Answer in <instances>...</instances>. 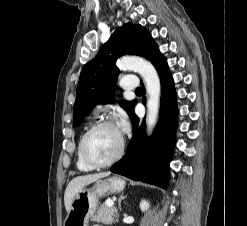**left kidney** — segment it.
<instances>
[{
  "label": "left kidney",
  "instance_id": "left-kidney-1",
  "mask_svg": "<svg viewBox=\"0 0 247 226\" xmlns=\"http://www.w3.org/2000/svg\"><path fill=\"white\" fill-rule=\"evenodd\" d=\"M149 202L148 201H146V200H142L141 202H140V209H141V211L142 212H145V211H147L148 209H149Z\"/></svg>",
  "mask_w": 247,
  "mask_h": 226
}]
</instances>
